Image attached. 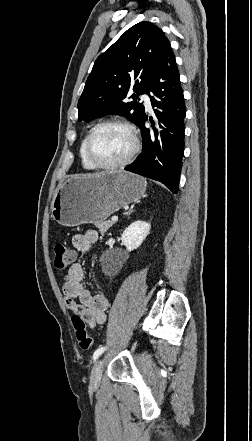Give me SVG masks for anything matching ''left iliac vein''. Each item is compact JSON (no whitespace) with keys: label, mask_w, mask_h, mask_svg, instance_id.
<instances>
[{"label":"left iliac vein","mask_w":252,"mask_h":441,"mask_svg":"<svg viewBox=\"0 0 252 441\" xmlns=\"http://www.w3.org/2000/svg\"><path fill=\"white\" fill-rule=\"evenodd\" d=\"M104 366V360L99 359L94 364L91 375H90V385L92 387H98L101 382V376H102V369Z\"/></svg>","instance_id":"obj_1"}]
</instances>
